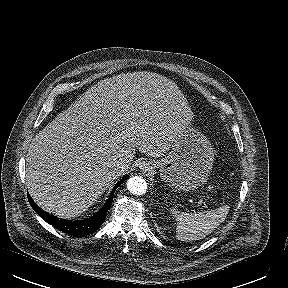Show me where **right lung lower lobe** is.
Wrapping results in <instances>:
<instances>
[{"mask_svg":"<svg viewBox=\"0 0 288 288\" xmlns=\"http://www.w3.org/2000/svg\"><path fill=\"white\" fill-rule=\"evenodd\" d=\"M127 179V176L123 177L112 189L109 198L107 199L104 206L90 218L79 220V221H69L61 218H57L53 215L42 210L28 195V200L30 205L33 207L34 211L37 212L41 218L52 226L58 228L66 234L73 235L75 237H84L93 232H95L105 221L107 211L109 210L115 190Z\"/></svg>","mask_w":288,"mask_h":288,"instance_id":"1","label":"right lung lower lobe"}]
</instances>
